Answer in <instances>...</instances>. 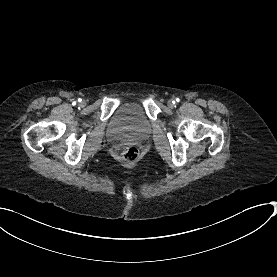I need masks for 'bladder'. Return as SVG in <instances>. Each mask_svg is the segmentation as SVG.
Masks as SVG:
<instances>
[{"label": "bladder", "mask_w": 277, "mask_h": 277, "mask_svg": "<svg viewBox=\"0 0 277 277\" xmlns=\"http://www.w3.org/2000/svg\"><path fill=\"white\" fill-rule=\"evenodd\" d=\"M106 123L117 142L146 140L153 129V124L140 102L116 104Z\"/></svg>", "instance_id": "bladder-1"}]
</instances>
